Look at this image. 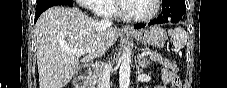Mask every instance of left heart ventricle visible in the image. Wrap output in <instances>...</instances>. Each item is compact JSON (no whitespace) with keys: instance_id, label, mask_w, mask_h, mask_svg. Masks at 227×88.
<instances>
[{"instance_id":"b2bd125f","label":"left heart ventricle","mask_w":227,"mask_h":88,"mask_svg":"<svg viewBox=\"0 0 227 88\" xmlns=\"http://www.w3.org/2000/svg\"><path fill=\"white\" fill-rule=\"evenodd\" d=\"M125 11L134 16H147L154 10L153 0H131L124 3Z\"/></svg>"}]
</instances>
